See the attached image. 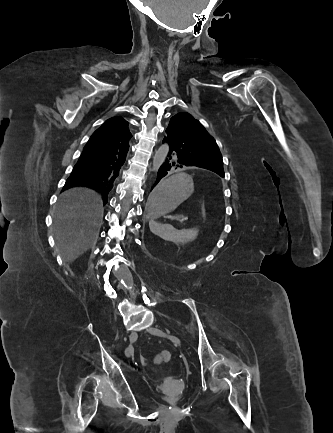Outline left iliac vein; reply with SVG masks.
<instances>
[{"mask_svg": "<svg viewBox=\"0 0 333 433\" xmlns=\"http://www.w3.org/2000/svg\"><path fill=\"white\" fill-rule=\"evenodd\" d=\"M147 331L150 334L161 336V337H168L176 346H180L181 342L180 339L175 335H169L165 333L164 331L160 330L159 328L150 327L147 329Z\"/></svg>", "mask_w": 333, "mask_h": 433, "instance_id": "4c4485c4", "label": "left iliac vein"}]
</instances>
